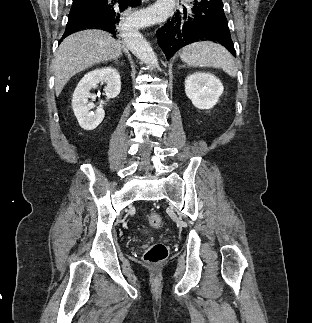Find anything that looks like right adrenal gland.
Segmentation results:
<instances>
[{"mask_svg": "<svg viewBox=\"0 0 312 323\" xmlns=\"http://www.w3.org/2000/svg\"><path fill=\"white\" fill-rule=\"evenodd\" d=\"M115 64H117V62H119V60H114Z\"/></svg>", "mask_w": 312, "mask_h": 323, "instance_id": "right-adrenal-gland-1", "label": "right adrenal gland"}]
</instances>
